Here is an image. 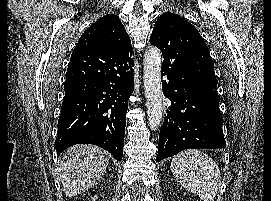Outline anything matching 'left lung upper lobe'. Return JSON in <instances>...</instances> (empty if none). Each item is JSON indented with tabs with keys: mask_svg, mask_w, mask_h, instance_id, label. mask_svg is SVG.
<instances>
[{
	"mask_svg": "<svg viewBox=\"0 0 271 201\" xmlns=\"http://www.w3.org/2000/svg\"><path fill=\"white\" fill-rule=\"evenodd\" d=\"M172 41H180L197 83L219 103L214 62L200 33L179 15L163 13L154 25L150 43L162 51Z\"/></svg>",
	"mask_w": 271,
	"mask_h": 201,
	"instance_id": "obj_1",
	"label": "left lung upper lobe"
}]
</instances>
